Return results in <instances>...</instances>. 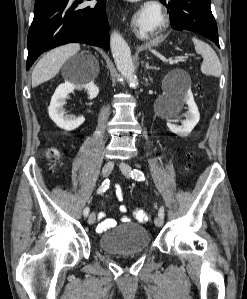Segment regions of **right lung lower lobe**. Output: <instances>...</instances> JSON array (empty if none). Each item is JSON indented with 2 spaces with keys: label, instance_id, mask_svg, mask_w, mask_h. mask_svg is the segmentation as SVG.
I'll list each match as a JSON object with an SVG mask.
<instances>
[{
  "label": "right lung lower lobe",
  "instance_id": "right-lung-lower-lobe-1",
  "mask_svg": "<svg viewBox=\"0 0 247 299\" xmlns=\"http://www.w3.org/2000/svg\"><path fill=\"white\" fill-rule=\"evenodd\" d=\"M84 0H36L27 43V70L44 51L77 42L109 49L106 0L82 5Z\"/></svg>",
  "mask_w": 247,
  "mask_h": 299
}]
</instances>
